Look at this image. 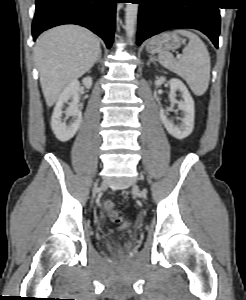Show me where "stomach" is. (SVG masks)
<instances>
[{"label": "stomach", "instance_id": "0dacf381", "mask_svg": "<svg viewBox=\"0 0 246 300\" xmlns=\"http://www.w3.org/2000/svg\"><path fill=\"white\" fill-rule=\"evenodd\" d=\"M184 43L176 32L162 33L153 37L146 46L147 52L155 54L161 51L175 50Z\"/></svg>", "mask_w": 246, "mask_h": 300}]
</instances>
